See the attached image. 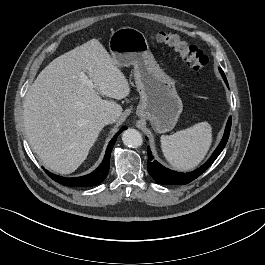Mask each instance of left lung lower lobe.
Returning a JSON list of instances; mask_svg holds the SVG:
<instances>
[{
  "label": "left lung lower lobe",
  "instance_id": "left-lung-lower-lobe-1",
  "mask_svg": "<svg viewBox=\"0 0 265 265\" xmlns=\"http://www.w3.org/2000/svg\"><path fill=\"white\" fill-rule=\"evenodd\" d=\"M220 73L224 79V81L227 83L226 76L222 69H220ZM231 122L232 118L230 117L227 121L226 128H225V133L224 136L212 154V156L209 158V160L200 168L197 170L190 172V173H178L172 170H169L162 166L160 163H158L156 160H153V156L148 148V163H147V169L149 174L153 177V179L159 183V184H188L189 182L193 181L196 179L198 176H200L204 171H206L212 163L215 161V159L219 156V154L222 152L224 149L228 138L230 134V129H231Z\"/></svg>",
  "mask_w": 265,
  "mask_h": 265
}]
</instances>
